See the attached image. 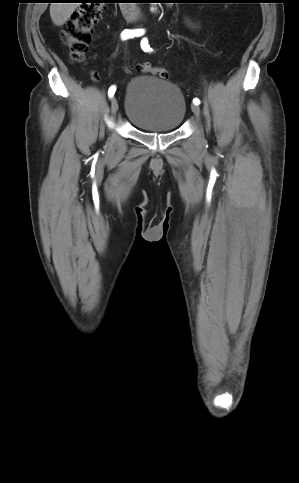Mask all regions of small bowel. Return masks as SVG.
<instances>
[{"label": "small bowel", "mask_w": 299, "mask_h": 483, "mask_svg": "<svg viewBox=\"0 0 299 483\" xmlns=\"http://www.w3.org/2000/svg\"><path fill=\"white\" fill-rule=\"evenodd\" d=\"M93 77L97 78V74L95 72H93Z\"/></svg>", "instance_id": "obj_1"}]
</instances>
